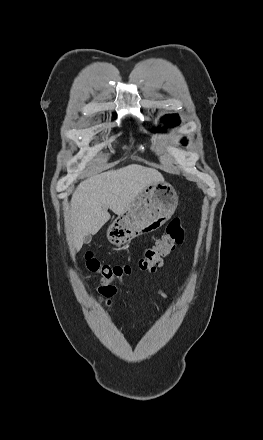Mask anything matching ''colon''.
Returning a JSON list of instances; mask_svg holds the SVG:
<instances>
[{
  "label": "colon",
  "instance_id": "1",
  "mask_svg": "<svg viewBox=\"0 0 263 440\" xmlns=\"http://www.w3.org/2000/svg\"><path fill=\"white\" fill-rule=\"evenodd\" d=\"M184 234L182 221L175 218L168 223L157 241L145 249L143 256L134 265L101 263L92 253L86 254L85 265L90 273L99 277L103 286H112L129 276L134 268L142 272L155 271L161 266L163 257L183 242Z\"/></svg>",
  "mask_w": 263,
  "mask_h": 440
}]
</instances>
